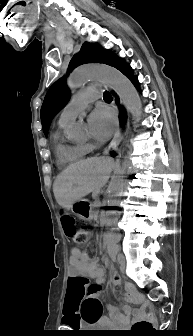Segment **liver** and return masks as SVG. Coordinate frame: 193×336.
<instances>
[{
  "mask_svg": "<svg viewBox=\"0 0 193 336\" xmlns=\"http://www.w3.org/2000/svg\"><path fill=\"white\" fill-rule=\"evenodd\" d=\"M113 169L110 158L91 157L70 165L55 179L53 192L57 203L66 209L91 192H99Z\"/></svg>",
  "mask_w": 193,
  "mask_h": 336,
  "instance_id": "6515ba94",
  "label": "liver"
}]
</instances>
